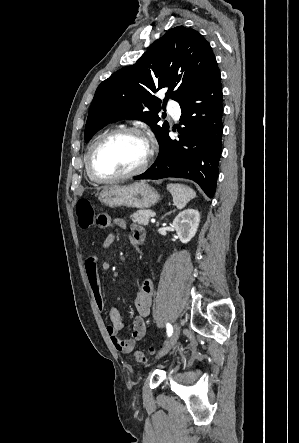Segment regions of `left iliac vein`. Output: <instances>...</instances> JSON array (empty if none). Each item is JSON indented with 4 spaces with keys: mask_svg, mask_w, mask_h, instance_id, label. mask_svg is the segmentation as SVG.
<instances>
[{
    "mask_svg": "<svg viewBox=\"0 0 299 443\" xmlns=\"http://www.w3.org/2000/svg\"><path fill=\"white\" fill-rule=\"evenodd\" d=\"M181 333V328L178 323L174 324L173 333L171 335V338L167 345L163 348V350L156 356V359H159L163 355L167 354L176 344L177 340L179 339Z\"/></svg>",
    "mask_w": 299,
    "mask_h": 443,
    "instance_id": "1",
    "label": "left iliac vein"
}]
</instances>
